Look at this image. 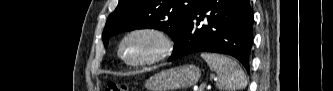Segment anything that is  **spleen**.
I'll return each instance as SVG.
<instances>
[{
  "label": "spleen",
  "mask_w": 333,
  "mask_h": 91,
  "mask_svg": "<svg viewBox=\"0 0 333 91\" xmlns=\"http://www.w3.org/2000/svg\"><path fill=\"white\" fill-rule=\"evenodd\" d=\"M210 70L217 73L220 91H237L247 86V79L240 65L233 59L214 53H201Z\"/></svg>",
  "instance_id": "3e777b00"
}]
</instances>
